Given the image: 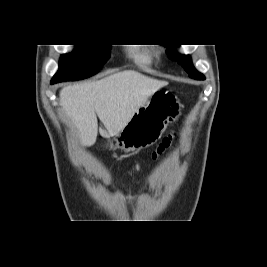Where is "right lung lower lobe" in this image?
<instances>
[{
	"label": "right lung lower lobe",
	"instance_id": "right-lung-lower-lobe-1",
	"mask_svg": "<svg viewBox=\"0 0 267 267\" xmlns=\"http://www.w3.org/2000/svg\"><path fill=\"white\" fill-rule=\"evenodd\" d=\"M55 82L51 81V84H54Z\"/></svg>",
	"mask_w": 267,
	"mask_h": 267
}]
</instances>
